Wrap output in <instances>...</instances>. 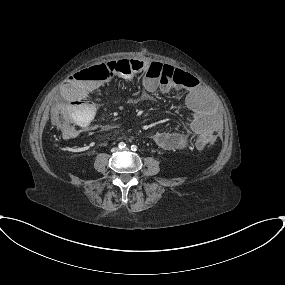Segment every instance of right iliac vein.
Segmentation results:
<instances>
[{"label":"right iliac vein","instance_id":"right-iliac-vein-1","mask_svg":"<svg viewBox=\"0 0 285 285\" xmlns=\"http://www.w3.org/2000/svg\"><path fill=\"white\" fill-rule=\"evenodd\" d=\"M118 149L116 147L111 149V152H116Z\"/></svg>","mask_w":285,"mask_h":285}]
</instances>
